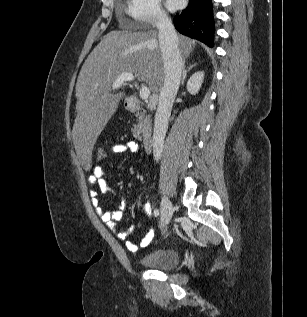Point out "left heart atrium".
Instances as JSON below:
<instances>
[{
    "label": "left heart atrium",
    "mask_w": 307,
    "mask_h": 317,
    "mask_svg": "<svg viewBox=\"0 0 307 317\" xmlns=\"http://www.w3.org/2000/svg\"><path fill=\"white\" fill-rule=\"evenodd\" d=\"M183 3V0H166V5L168 9L175 10L178 9Z\"/></svg>",
    "instance_id": "39dd6f15"
}]
</instances>
